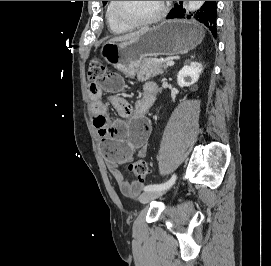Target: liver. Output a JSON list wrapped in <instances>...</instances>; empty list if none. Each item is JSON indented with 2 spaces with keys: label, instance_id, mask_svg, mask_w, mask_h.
<instances>
[{
  "label": "liver",
  "instance_id": "liver-1",
  "mask_svg": "<svg viewBox=\"0 0 271 266\" xmlns=\"http://www.w3.org/2000/svg\"><path fill=\"white\" fill-rule=\"evenodd\" d=\"M148 30V28H142L136 32H132L123 36H119V37H114L112 39H110L108 41V43H112V42H124V41H128L131 40L133 38H136L137 36L143 34L144 32H146Z\"/></svg>",
  "mask_w": 271,
  "mask_h": 266
}]
</instances>
